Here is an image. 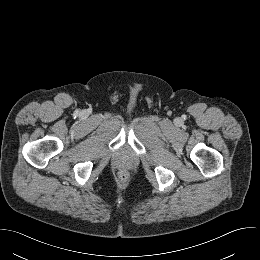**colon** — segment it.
Here are the masks:
<instances>
[{
	"label": "colon",
	"instance_id": "colon-1",
	"mask_svg": "<svg viewBox=\"0 0 260 260\" xmlns=\"http://www.w3.org/2000/svg\"><path fill=\"white\" fill-rule=\"evenodd\" d=\"M120 178H121V179H125V178H126V174H125L124 172H121V173H120Z\"/></svg>",
	"mask_w": 260,
	"mask_h": 260
}]
</instances>
